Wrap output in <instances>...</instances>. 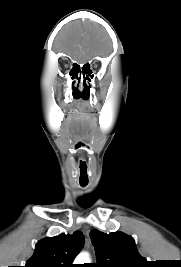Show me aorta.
<instances>
[{
	"mask_svg": "<svg viewBox=\"0 0 181 267\" xmlns=\"http://www.w3.org/2000/svg\"><path fill=\"white\" fill-rule=\"evenodd\" d=\"M89 261H90V257L87 252L80 253L75 260V262L77 263H88Z\"/></svg>",
	"mask_w": 181,
	"mask_h": 267,
	"instance_id": "1",
	"label": "aorta"
}]
</instances>
